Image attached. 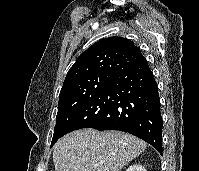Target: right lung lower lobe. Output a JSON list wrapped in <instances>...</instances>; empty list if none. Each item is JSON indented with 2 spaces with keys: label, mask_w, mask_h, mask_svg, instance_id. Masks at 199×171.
<instances>
[{
  "label": "right lung lower lobe",
  "mask_w": 199,
  "mask_h": 171,
  "mask_svg": "<svg viewBox=\"0 0 199 171\" xmlns=\"http://www.w3.org/2000/svg\"><path fill=\"white\" fill-rule=\"evenodd\" d=\"M162 123L157 83L144 60L103 86L80 108L62 136L81 128L119 130L143 139L162 155Z\"/></svg>",
  "instance_id": "98d812e1"
}]
</instances>
